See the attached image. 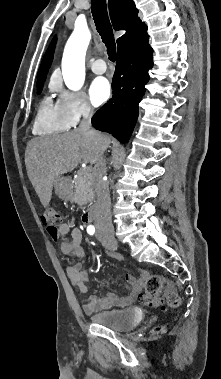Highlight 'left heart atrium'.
Segmentation results:
<instances>
[{"mask_svg": "<svg viewBox=\"0 0 221 379\" xmlns=\"http://www.w3.org/2000/svg\"><path fill=\"white\" fill-rule=\"evenodd\" d=\"M111 95V87L107 79L96 78L90 87V96L95 105H100L108 100Z\"/></svg>", "mask_w": 221, "mask_h": 379, "instance_id": "1", "label": "left heart atrium"}]
</instances>
